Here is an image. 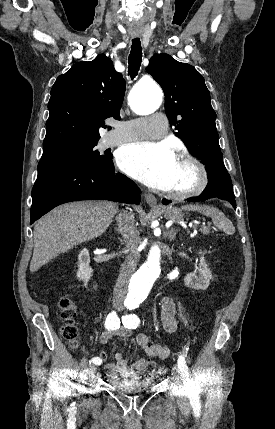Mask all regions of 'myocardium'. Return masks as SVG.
<instances>
[{"instance_id": "f54148a6", "label": "myocardium", "mask_w": 275, "mask_h": 429, "mask_svg": "<svg viewBox=\"0 0 275 429\" xmlns=\"http://www.w3.org/2000/svg\"><path fill=\"white\" fill-rule=\"evenodd\" d=\"M178 159L192 165L197 174V180L193 187L184 191H167V196L176 200H185L200 195L209 182L208 172L204 164L194 155L181 152Z\"/></svg>"}]
</instances>
